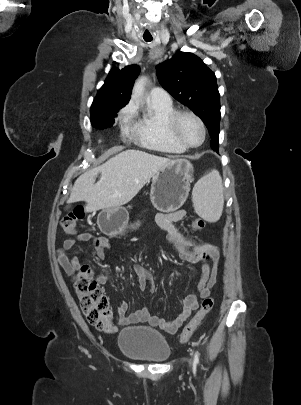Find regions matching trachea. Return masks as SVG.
Here are the masks:
<instances>
[{
	"instance_id": "3493384b",
	"label": "trachea",
	"mask_w": 301,
	"mask_h": 405,
	"mask_svg": "<svg viewBox=\"0 0 301 405\" xmlns=\"http://www.w3.org/2000/svg\"><path fill=\"white\" fill-rule=\"evenodd\" d=\"M144 40H145L146 42H150V41H152V36L144 37Z\"/></svg>"
}]
</instances>
